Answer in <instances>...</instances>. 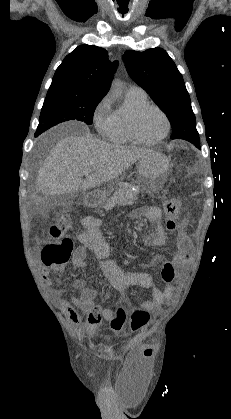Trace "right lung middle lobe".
Listing matches in <instances>:
<instances>
[{"label":"right lung middle lobe","instance_id":"dd1d6c3e","mask_svg":"<svg viewBox=\"0 0 231 419\" xmlns=\"http://www.w3.org/2000/svg\"><path fill=\"white\" fill-rule=\"evenodd\" d=\"M102 97L78 96L66 89L48 90L35 136L58 123L79 120L90 125Z\"/></svg>","mask_w":231,"mask_h":419}]
</instances>
